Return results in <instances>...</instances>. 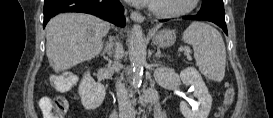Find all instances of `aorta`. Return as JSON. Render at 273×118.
<instances>
[{
	"label": "aorta",
	"mask_w": 273,
	"mask_h": 118,
	"mask_svg": "<svg viewBox=\"0 0 273 118\" xmlns=\"http://www.w3.org/2000/svg\"><path fill=\"white\" fill-rule=\"evenodd\" d=\"M146 48L142 28L135 24L131 30L130 55L133 66V80L136 84L141 82L143 68L146 65Z\"/></svg>",
	"instance_id": "762f6f07"
}]
</instances>
